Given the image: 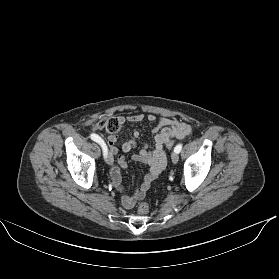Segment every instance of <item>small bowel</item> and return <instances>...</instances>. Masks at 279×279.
<instances>
[{
    "mask_svg": "<svg viewBox=\"0 0 279 279\" xmlns=\"http://www.w3.org/2000/svg\"><path fill=\"white\" fill-rule=\"evenodd\" d=\"M145 119L149 122H155L156 120H158V123L157 126L153 129V133L155 134L154 148L152 150H149L148 147H144L138 154L132 156L133 160L145 163L150 168L149 173L144 177L143 183L138 188H136L132 196L127 195L125 187L122 183V176L120 171V168L126 167L128 163L127 157L124 154L118 155V165L112 167L109 172L115 188L123 194L122 205L126 209L132 208L137 200L144 197L151 183L160 175V173L164 169L167 162L166 153L164 150V145L166 144V142L169 139L176 140L184 138L191 133V127L187 123L175 119H170L164 116L157 118L154 114H149L147 116L142 113L128 115L126 117H120L119 122L120 124H123L125 122L136 123L141 122ZM138 138L139 132L134 131L131 137L122 145V151L124 153H129L136 146ZM107 140L110 152L113 155H117L118 147L116 136L108 135Z\"/></svg>",
    "mask_w": 279,
    "mask_h": 279,
    "instance_id": "c3829d8e",
    "label": "small bowel"
}]
</instances>
